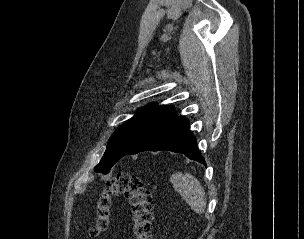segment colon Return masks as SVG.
Listing matches in <instances>:
<instances>
[{"instance_id":"obj_1","label":"colon","mask_w":304,"mask_h":239,"mask_svg":"<svg viewBox=\"0 0 304 239\" xmlns=\"http://www.w3.org/2000/svg\"><path fill=\"white\" fill-rule=\"evenodd\" d=\"M121 195L131 208L132 231L135 239H152L153 198L140 177L119 173L109 180L101 191L95 207L96 221L89 230L96 237L110 227L112 198Z\"/></svg>"}]
</instances>
